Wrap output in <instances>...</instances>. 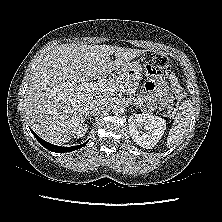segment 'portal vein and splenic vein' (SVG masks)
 I'll return each mask as SVG.
<instances>
[{
  "instance_id": "18ae733b",
  "label": "portal vein and splenic vein",
  "mask_w": 222,
  "mask_h": 222,
  "mask_svg": "<svg viewBox=\"0 0 222 222\" xmlns=\"http://www.w3.org/2000/svg\"><path fill=\"white\" fill-rule=\"evenodd\" d=\"M82 87H85L87 89H92L94 91H102V92H105V93H113V92H116V91H119V90H122L123 87H121L120 85L118 84H114V83H106V82H84L81 84Z\"/></svg>"
}]
</instances>
